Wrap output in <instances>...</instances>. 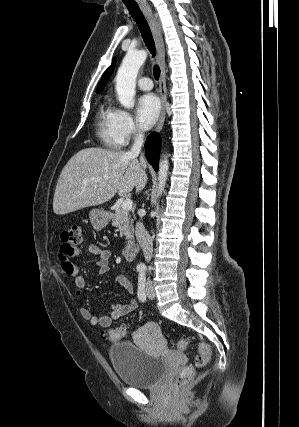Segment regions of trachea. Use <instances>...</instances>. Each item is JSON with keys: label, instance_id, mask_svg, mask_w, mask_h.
I'll use <instances>...</instances> for the list:
<instances>
[{"label": "trachea", "instance_id": "1", "mask_svg": "<svg viewBox=\"0 0 299 427\" xmlns=\"http://www.w3.org/2000/svg\"><path fill=\"white\" fill-rule=\"evenodd\" d=\"M126 7L129 11V13L131 14V16L133 17V19L135 20L140 33L142 35V38L145 42V45L147 46L148 50L150 51V53L152 54L153 57H155L156 55V49H155V43L152 37V33L150 30V27L143 15V13L141 12L139 6L137 4H126ZM153 74H154V78L156 80L159 79L160 77V68L158 65H154L153 67Z\"/></svg>", "mask_w": 299, "mask_h": 427}]
</instances>
